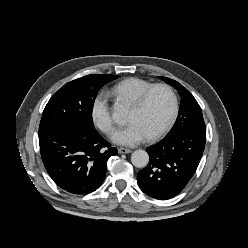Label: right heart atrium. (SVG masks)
Returning <instances> with one entry per match:
<instances>
[{"instance_id":"d8ad5b80","label":"right heart atrium","mask_w":248,"mask_h":248,"mask_svg":"<svg viewBox=\"0 0 248 248\" xmlns=\"http://www.w3.org/2000/svg\"><path fill=\"white\" fill-rule=\"evenodd\" d=\"M91 118L94 125L102 132L109 134L114 129V119L106 92H99L91 105Z\"/></svg>"}]
</instances>
